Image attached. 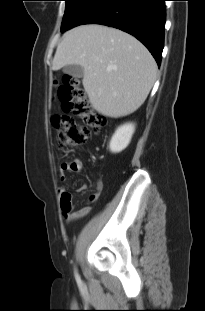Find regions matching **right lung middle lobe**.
<instances>
[{
	"instance_id": "obj_1",
	"label": "right lung middle lobe",
	"mask_w": 205,
	"mask_h": 311,
	"mask_svg": "<svg viewBox=\"0 0 205 311\" xmlns=\"http://www.w3.org/2000/svg\"><path fill=\"white\" fill-rule=\"evenodd\" d=\"M66 1L65 13L62 21L61 32H64L75 23L91 0H64Z\"/></svg>"
}]
</instances>
